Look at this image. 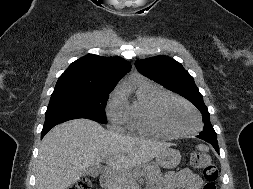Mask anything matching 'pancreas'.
Wrapping results in <instances>:
<instances>
[{
    "label": "pancreas",
    "mask_w": 253,
    "mask_h": 189,
    "mask_svg": "<svg viewBox=\"0 0 253 189\" xmlns=\"http://www.w3.org/2000/svg\"><path fill=\"white\" fill-rule=\"evenodd\" d=\"M145 176L149 182H156L160 178V168L158 166H148L145 171ZM133 185V179L126 172L115 174L107 189H130Z\"/></svg>",
    "instance_id": "1"
}]
</instances>
